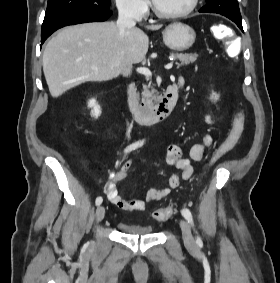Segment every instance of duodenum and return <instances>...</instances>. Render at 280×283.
<instances>
[{
    "label": "duodenum",
    "mask_w": 280,
    "mask_h": 283,
    "mask_svg": "<svg viewBox=\"0 0 280 283\" xmlns=\"http://www.w3.org/2000/svg\"><path fill=\"white\" fill-rule=\"evenodd\" d=\"M178 100V87L170 85L157 105L146 107L140 104L136 86L131 83L127 89L128 108L137 122L142 125H152L167 118L173 111Z\"/></svg>",
    "instance_id": "obj_1"
}]
</instances>
